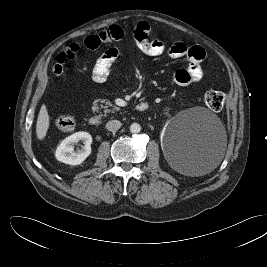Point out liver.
I'll return each mask as SVG.
<instances>
[{
    "mask_svg": "<svg viewBox=\"0 0 267 267\" xmlns=\"http://www.w3.org/2000/svg\"><path fill=\"white\" fill-rule=\"evenodd\" d=\"M49 129V115L46 105L43 104L40 108L36 123V136L39 140H43Z\"/></svg>",
    "mask_w": 267,
    "mask_h": 267,
    "instance_id": "liver-1",
    "label": "liver"
}]
</instances>
